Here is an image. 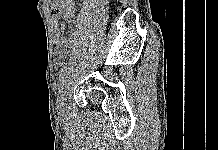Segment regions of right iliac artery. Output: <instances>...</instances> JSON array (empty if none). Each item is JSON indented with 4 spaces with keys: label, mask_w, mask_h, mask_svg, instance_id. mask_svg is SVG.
I'll return each mask as SVG.
<instances>
[{
    "label": "right iliac artery",
    "mask_w": 218,
    "mask_h": 150,
    "mask_svg": "<svg viewBox=\"0 0 218 150\" xmlns=\"http://www.w3.org/2000/svg\"><path fill=\"white\" fill-rule=\"evenodd\" d=\"M70 65L71 63L66 64L61 72V75L59 77V82H58V90H60V88L63 86L64 82H65V78H66V74L68 73V70L70 69Z\"/></svg>",
    "instance_id": "right-iliac-artery-1"
}]
</instances>
